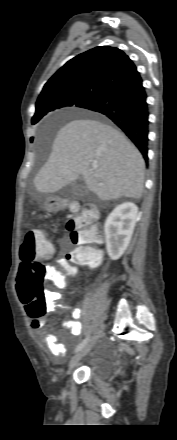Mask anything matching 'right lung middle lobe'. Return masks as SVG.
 <instances>
[{
	"instance_id": "obj_1",
	"label": "right lung middle lobe",
	"mask_w": 177,
	"mask_h": 440,
	"mask_svg": "<svg viewBox=\"0 0 177 440\" xmlns=\"http://www.w3.org/2000/svg\"><path fill=\"white\" fill-rule=\"evenodd\" d=\"M101 97L103 96L98 93L75 91L59 93L40 104H36V112L32 118V124H36L44 115L53 110L72 106L86 108Z\"/></svg>"
}]
</instances>
